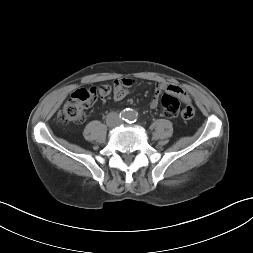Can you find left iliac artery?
Listing matches in <instances>:
<instances>
[{
  "label": "left iliac artery",
  "mask_w": 253,
  "mask_h": 253,
  "mask_svg": "<svg viewBox=\"0 0 253 253\" xmlns=\"http://www.w3.org/2000/svg\"><path fill=\"white\" fill-rule=\"evenodd\" d=\"M136 119H137V114H132L130 118V122L133 123L136 121Z\"/></svg>",
  "instance_id": "obj_1"
}]
</instances>
